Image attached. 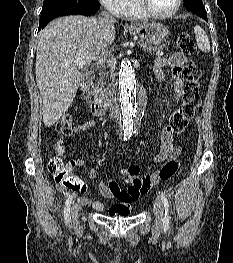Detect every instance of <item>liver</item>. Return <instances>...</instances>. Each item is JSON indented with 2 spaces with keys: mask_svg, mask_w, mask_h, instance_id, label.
Wrapping results in <instances>:
<instances>
[{
  "mask_svg": "<svg viewBox=\"0 0 233 263\" xmlns=\"http://www.w3.org/2000/svg\"><path fill=\"white\" fill-rule=\"evenodd\" d=\"M114 40V23L104 25L81 15L55 19L39 33L35 73L46 127L54 125L75 98L82 73L74 61L102 56Z\"/></svg>",
  "mask_w": 233,
  "mask_h": 263,
  "instance_id": "1",
  "label": "liver"
}]
</instances>
